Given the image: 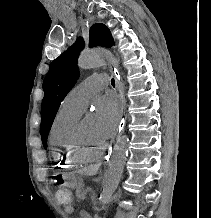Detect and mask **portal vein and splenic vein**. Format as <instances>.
Here are the masks:
<instances>
[{"label": "portal vein and splenic vein", "mask_w": 211, "mask_h": 218, "mask_svg": "<svg viewBox=\"0 0 211 218\" xmlns=\"http://www.w3.org/2000/svg\"><path fill=\"white\" fill-rule=\"evenodd\" d=\"M86 192L89 190H91V186H88V187H86L85 189H84Z\"/></svg>", "instance_id": "18ae733b"}]
</instances>
